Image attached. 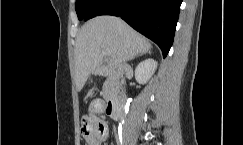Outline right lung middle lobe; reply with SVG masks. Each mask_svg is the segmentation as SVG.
<instances>
[{
	"label": "right lung middle lobe",
	"instance_id": "1",
	"mask_svg": "<svg viewBox=\"0 0 243 145\" xmlns=\"http://www.w3.org/2000/svg\"><path fill=\"white\" fill-rule=\"evenodd\" d=\"M101 0H76V13L79 20L85 18L87 13Z\"/></svg>",
	"mask_w": 243,
	"mask_h": 145
}]
</instances>
